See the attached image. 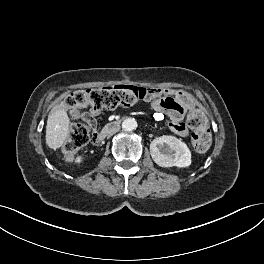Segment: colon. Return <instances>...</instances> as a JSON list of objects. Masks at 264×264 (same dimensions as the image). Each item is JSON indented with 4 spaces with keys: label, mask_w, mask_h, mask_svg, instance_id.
I'll use <instances>...</instances> for the list:
<instances>
[{
    "label": "colon",
    "mask_w": 264,
    "mask_h": 264,
    "mask_svg": "<svg viewBox=\"0 0 264 264\" xmlns=\"http://www.w3.org/2000/svg\"><path fill=\"white\" fill-rule=\"evenodd\" d=\"M148 95V89L128 86H104L71 92L65 99L67 107L74 112L79 108L115 109L131 106ZM187 123L193 129L191 143L197 153L207 151L211 144V133L208 128V118L198 107L193 106L187 114ZM91 138V130L82 122L75 121L70 134L62 147V153L67 161L75 158L78 150L86 145Z\"/></svg>",
    "instance_id": "colon-1"
}]
</instances>
